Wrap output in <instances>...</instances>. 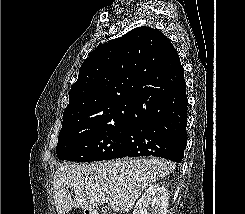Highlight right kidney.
I'll return each instance as SVG.
<instances>
[{
  "label": "right kidney",
  "mask_w": 245,
  "mask_h": 214,
  "mask_svg": "<svg viewBox=\"0 0 245 214\" xmlns=\"http://www.w3.org/2000/svg\"><path fill=\"white\" fill-rule=\"evenodd\" d=\"M169 194L164 185L154 184L137 201L133 214H167Z\"/></svg>",
  "instance_id": "ca27d5eb"
}]
</instances>
